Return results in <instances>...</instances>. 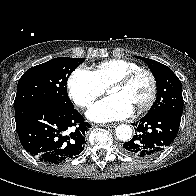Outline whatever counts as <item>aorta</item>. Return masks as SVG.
<instances>
[{
  "label": "aorta",
  "mask_w": 196,
  "mask_h": 196,
  "mask_svg": "<svg viewBox=\"0 0 196 196\" xmlns=\"http://www.w3.org/2000/svg\"><path fill=\"white\" fill-rule=\"evenodd\" d=\"M116 136L121 141H127L132 136V128L129 125L121 124L116 128Z\"/></svg>",
  "instance_id": "1"
}]
</instances>
